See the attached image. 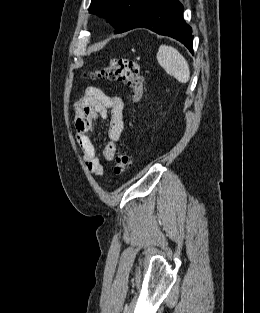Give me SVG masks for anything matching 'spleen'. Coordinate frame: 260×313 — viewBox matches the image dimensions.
Wrapping results in <instances>:
<instances>
[{
  "instance_id": "obj_1",
  "label": "spleen",
  "mask_w": 260,
  "mask_h": 313,
  "mask_svg": "<svg viewBox=\"0 0 260 313\" xmlns=\"http://www.w3.org/2000/svg\"><path fill=\"white\" fill-rule=\"evenodd\" d=\"M157 61L170 76L181 83H187L190 79L188 62L174 47L161 45L157 52Z\"/></svg>"
}]
</instances>
